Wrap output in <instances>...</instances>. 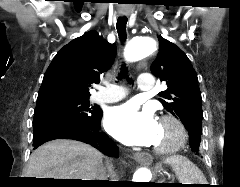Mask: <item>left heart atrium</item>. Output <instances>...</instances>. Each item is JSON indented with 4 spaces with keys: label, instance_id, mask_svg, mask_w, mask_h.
Masks as SVG:
<instances>
[{
    "label": "left heart atrium",
    "instance_id": "obj_1",
    "mask_svg": "<svg viewBox=\"0 0 240 187\" xmlns=\"http://www.w3.org/2000/svg\"><path fill=\"white\" fill-rule=\"evenodd\" d=\"M104 124L109 134L126 145L151 146L159 134V123L153 113L132 104L110 108Z\"/></svg>",
    "mask_w": 240,
    "mask_h": 187
}]
</instances>
